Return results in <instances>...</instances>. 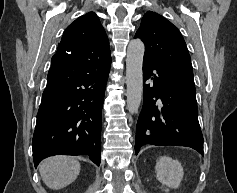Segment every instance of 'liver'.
I'll return each instance as SVG.
<instances>
[{
  "label": "liver",
  "instance_id": "6515ba94",
  "mask_svg": "<svg viewBox=\"0 0 237 193\" xmlns=\"http://www.w3.org/2000/svg\"><path fill=\"white\" fill-rule=\"evenodd\" d=\"M39 171L45 185L58 190L76 180L80 173V163L73 157L53 156L41 162Z\"/></svg>",
  "mask_w": 237,
  "mask_h": 193
}]
</instances>
